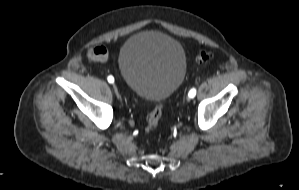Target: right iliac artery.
<instances>
[{"label":"right iliac artery","instance_id":"obj_1","mask_svg":"<svg viewBox=\"0 0 299 190\" xmlns=\"http://www.w3.org/2000/svg\"><path fill=\"white\" fill-rule=\"evenodd\" d=\"M107 80H108L109 83H113L114 82V77L110 75V76H108Z\"/></svg>","mask_w":299,"mask_h":190}]
</instances>
